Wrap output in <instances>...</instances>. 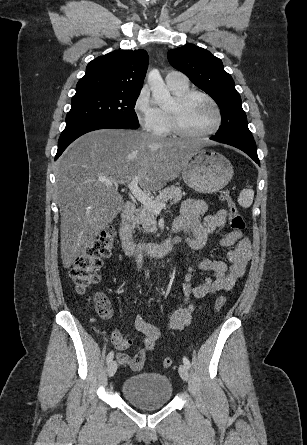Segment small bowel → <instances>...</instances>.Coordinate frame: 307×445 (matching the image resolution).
<instances>
[{"mask_svg": "<svg viewBox=\"0 0 307 445\" xmlns=\"http://www.w3.org/2000/svg\"><path fill=\"white\" fill-rule=\"evenodd\" d=\"M228 216L229 212L226 209L208 214L207 205L203 201L187 199L174 221L173 230L183 232L188 246L193 251L199 252L207 246L210 235L225 225ZM218 244L226 250V261L202 257L196 259L182 284L183 301L167 312L168 330H182L188 326L194 310L192 298L202 299L220 291H229L245 274L246 266L251 259L250 240L242 232L234 230L222 235ZM195 268L211 272L212 276L203 277L196 284L193 278ZM135 328L143 335L141 345L133 355H130L126 350L132 341L123 339L121 344L116 345L120 351L117 360L121 365H128L134 371H139L144 366L146 354L154 350L160 333L157 327L147 323L140 315L135 319Z\"/></svg>", "mask_w": 307, "mask_h": 445, "instance_id": "c3829d8e", "label": "small bowel"}]
</instances>
